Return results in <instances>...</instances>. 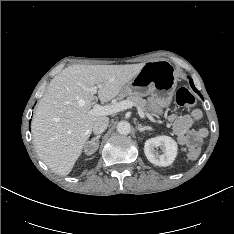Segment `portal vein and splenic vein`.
<instances>
[{
    "instance_id": "obj_1",
    "label": "portal vein and splenic vein",
    "mask_w": 234,
    "mask_h": 234,
    "mask_svg": "<svg viewBox=\"0 0 234 234\" xmlns=\"http://www.w3.org/2000/svg\"><path fill=\"white\" fill-rule=\"evenodd\" d=\"M97 88L98 86H94L90 89L91 92L96 93L97 92ZM135 104H133L132 102L128 101V100H123L120 101L118 103L115 104H110V105H105V106H101L98 103H95L93 106V109H91L90 114L92 115H111L129 108H132ZM137 110H138V114L139 116L144 119L145 118V113L142 110V108H140L139 106H137Z\"/></svg>"
}]
</instances>
